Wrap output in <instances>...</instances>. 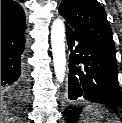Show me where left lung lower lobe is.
I'll return each mask as SVG.
<instances>
[{"label": "left lung lower lobe", "instance_id": "obj_1", "mask_svg": "<svg viewBox=\"0 0 122 123\" xmlns=\"http://www.w3.org/2000/svg\"><path fill=\"white\" fill-rule=\"evenodd\" d=\"M66 38L71 52L67 99L122 107L115 50L67 26Z\"/></svg>", "mask_w": 122, "mask_h": 123}]
</instances>
